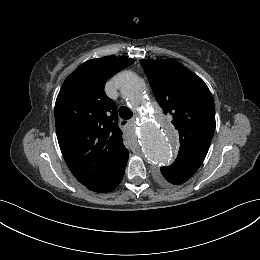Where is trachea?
Wrapping results in <instances>:
<instances>
[{"label": "trachea", "mask_w": 260, "mask_h": 260, "mask_svg": "<svg viewBox=\"0 0 260 260\" xmlns=\"http://www.w3.org/2000/svg\"><path fill=\"white\" fill-rule=\"evenodd\" d=\"M119 115L123 119H130L133 116V112L125 106L119 108Z\"/></svg>", "instance_id": "obj_1"}]
</instances>
